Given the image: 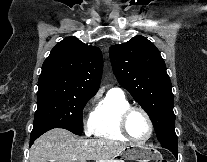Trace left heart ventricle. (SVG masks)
<instances>
[{
	"mask_svg": "<svg viewBox=\"0 0 207 162\" xmlns=\"http://www.w3.org/2000/svg\"><path fill=\"white\" fill-rule=\"evenodd\" d=\"M128 130L137 139H143L148 135L149 126L144 115L138 111L133 112L128 119Z\"/></svg>",
	"mask_w": 207,
	"mask_h": 162,
	"instance_id": "left-heart-ventricle-1",
	"label": "left heart ventricle"
}]
</instances>
